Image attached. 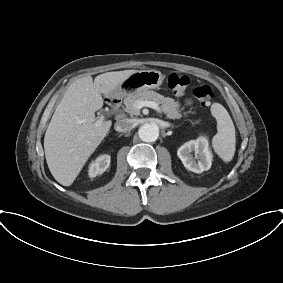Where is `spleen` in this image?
Returning <instances> with one entry per match:
<instances>
[{"label": "spleen", "mask_w": 283, "mask_h": 283, "mask_svg": "<svg viewBox=\"0 0 283 283\" xmlns=\"http://www.w3.org/2000/svg\"><path fill=\"white\" fill-rule=\"evenodd\" d=\"M211 114L217 121V134L212 139L213 149L224 162H230L236 149L233 121L225 107L219 103L212 104Z\"/></svg>", "instance_id": "1"}]
</instances>
